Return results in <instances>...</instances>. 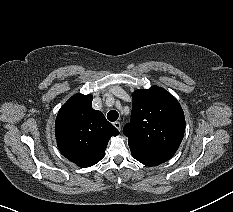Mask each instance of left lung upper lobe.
<instances>
[{"label": "left lung upper lobe", "instance_id": "obj_1", "mask_svg": "<svg viewBox=\"0 0 233 212\" xmlns=\"http://www.w3.org/2000/svg\"><path fill=\"white\" fill-rule=\"evenodd\" d=\"M132 98L131 122L123 133L136 160L157 166L177 151L185 131L184 112L179 102L158 86L134 91Z\"/></svg>", "mask_w": 233, "mask_h": 212}]
</instances>
